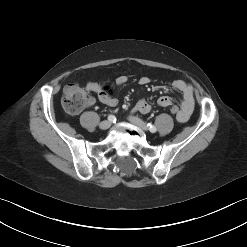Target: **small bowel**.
<instances>
[{
  "label": "small bowel",
  "instance_id": "c3829d8e",
  "mask_svg": "<svg viewBox=\"0 0 247 247\" xmlns=\"http://www.w3.org/2000/svg\"><path fill=\"white\" fill-rule=\"evenodd\" d=\"M128 78L126 76H119L116 80L117 84L123 85L127 82ZM150 82L148 77H141L139 83L141 85H146ZM172 86L175 90L181 93L182 100L180 104V112L177 116V121L184 123L190 118L195 101L192 86L182 79H176L173 81ZM86 88L96 95L95 97H89L87 101V106L93 105L96 100L109 107H114L117 104V99L115 98L112 89L108 86H102L101 84L90 81L87 83ZM160 107H168L172 104V99L169 96H161L158 101ZM152 106L145 99H139L134 106V112H140L142 114H147L151 111Z\"/></svg>",
  "mask_w": 247,
  "mask_h": 247
}]
</instances>
